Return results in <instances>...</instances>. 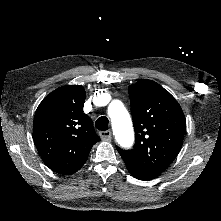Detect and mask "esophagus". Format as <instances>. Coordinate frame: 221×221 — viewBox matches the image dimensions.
<instances>
[{
	"label": "esophagus",
	"mask_w": 221,
	"mask_h": 221,
	"mask_svg": "<svg viewBox=\"0 0 221 221\" xmlns=\"http://www.w3.org/2000/svg\"><path fill=\"white\" fill-rule=\"evenodd\" d=\"M100 138L103 141H110L111 140V131L110 130H106V131H100L99 132Z\"/></svg>",
	"instance_id": "34e87169"
}]
</instances>
